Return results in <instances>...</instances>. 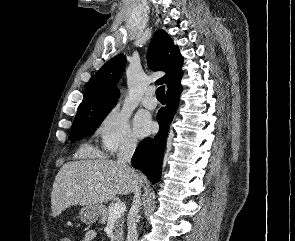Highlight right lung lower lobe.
I'll list each match as a JSON object with an SVG mask.
<instances>
[{
    "label": "right lung lower lobe",
    "instance_id": "right-lung-lower-lobe-1",
    "mask_svg": "<svg viewBox=\"0 0 295 241\" xmlns=\"http://www.w3.org/2000/svg\"><path fill=\"white\" fill-rule=\"evenodd\" d=\"M182 89L180 83L167 90V104L157 114L159 132L154 138H145L140 142L131 160L132 166L141 170L148 179L159 182L162 170V158L170 123L173 119L179 102Z\"/></svg>",
    "mask_w": 295,
    "mask_h": 241
}]
</instances>
